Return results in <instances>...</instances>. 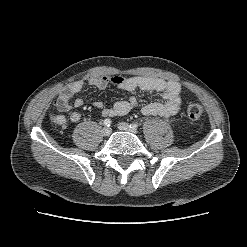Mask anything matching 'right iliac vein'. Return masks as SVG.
<instances>
[{
  "label": "right iliac vein",
  "instance_id": "obj_1",
  "mask_svg": "<svg viewBox=\"0 0 247 247\" xmlns=\"http://www.w3.org/2000/svg\"><path fill=\"white\" fill-rule=\"evenodd\" d=\"M102 133L104 136H109L111 134V128L109 127H104L102 130Z\"/></svg>",
  "mask_w": 247,
  "mask_h": 247
}]
</instances>
